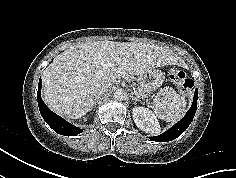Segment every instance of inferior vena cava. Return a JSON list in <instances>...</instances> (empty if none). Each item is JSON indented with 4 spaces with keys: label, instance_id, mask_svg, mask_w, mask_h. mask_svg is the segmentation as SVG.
Masks as SVG:
<instances>
[{
    "label": "inferior vena cava",
    "instance_id": "obj_1",
    "mask_svg": "<svg viewBox=\"0 0 236 178\" xmlns=\"http://www.w3.org/2000/svg\"><path fill=\"white\" fill-rule=\"evenodd\" d=\"M111 86L110 82L99 84L93 91L94 96L98 97Z\"/></svg>",
    "mask_w": 236,
    "mask_h": 178
}]
</instances>
